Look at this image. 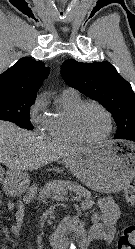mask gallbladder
I'll list each match as a JSON object with an SVG mask.
<instances>
[{"label": "gallbladder", "mask_w": 135, "mask_h": 249, "mask_svg": "<svg viewBox=\"0 0 135 249\" xmlns=\"http://www.w3.org/2000/svg\"><path fill=\"white\" fill-rule=\"evenodd\" d=\"M4 174V169L2 168V166L0 165V180L2 179Z\"/></svg>", "instance_id": "bac80fb5"}]
</instances>
